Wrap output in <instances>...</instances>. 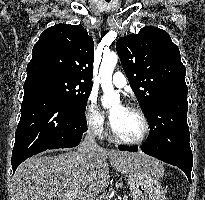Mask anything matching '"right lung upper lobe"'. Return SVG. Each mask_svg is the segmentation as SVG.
I'll return each instance as SVG.
<instances>
[{
	"label": "right lung upper lobe",
	"instance_id": "right-lung-upper-lobe-1",
	"mask_svg": "<svg viewBox=\"0 0 205 200\" xmlns=\"http://www.w3.org/2000/svg\"><path fill=\"white\" fill-rule=\"evenodd\" d=\"M94 43L81 25L57 24L39 37L27 65V78L58 74L92 85Z\"/></svg>",
	"mask_w": 205,
	"mask_h": 200
}]
</instances>
